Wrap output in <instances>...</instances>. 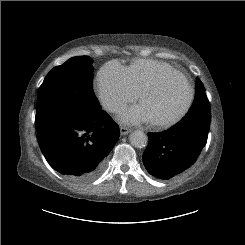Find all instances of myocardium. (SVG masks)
Segmentation results:
<instances>
[{
  "instance_id": "1",
  "label": "myocardium",
  "mask_w": 245,
  "mask_h": 245,
  "mask_svg": "<svg viewBox=\"0 0 245 245\" xmlns=\"http://www.w3.org/2000/svg\"><path fill=\"white\" fill-rule=\"evenodd\" d=\"M174 75L183 78L184 81L186 82V85H187V87L189 89V93H190L189 99H188V102L185 105V107L179 113L174 115L173 117L168 118V119H164V120L150 121L151 124L157 128L163 129V128H168V127H171V126L177 124L180 120H182L187 115V113L190 111V109L194 103V100H195V90H194V87H193L190 79L181 71L173 69V70L167 71V72L159 75L158 78L152 84H150L148 87H146L139 95L140 102L145 97H147L148 95L157 92L160 89L163 81L165 79L171 77V76H174Z\"/></svg>"
}]
</instances>
